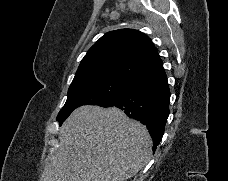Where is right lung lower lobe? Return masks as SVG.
Instances as JSON below:
<instances>
[{
    "mask_svg": "<svg viewBox=\"0 0 228 181\" xmlns=\"http://www.w3.org/2000/svg\"><path fill=\"white\" fill-rule=\"evenodd\" d=\"M169 101L170 90L161 63L132 78L116 96L99 106L120 108L128 117L146 125L155 152L164 134Z\"/></svg>",
    "mask_w": 228,
    "mask_h": 181,
    "instance_id": "obj_1",
    "label": "right lung lower lobe"
}]
</instances>
